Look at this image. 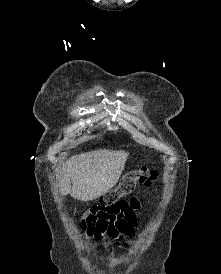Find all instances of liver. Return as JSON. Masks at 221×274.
<instances>
[{
  "mask_svg": "<svg viewBox=\"0 0 221 274\" xmlns=\"http://www.w3.org/2000/svg\"><path fill=\"white\" fill-rule=\"evenodd\" d=\"M127 157V152L105 149L71 157L58 175L60 193L84 202L97 199L117 184Z\"/></svg>",
  "mask_w": 221,
  "mask_h": 274,
  "instance_id": "6515ba94",
  "label": "liver"
}]
</instances>
